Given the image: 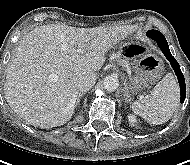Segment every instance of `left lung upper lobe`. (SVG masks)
Here are the masks:
<instances>
[{
  "instance_id": "1",
  "label": "left lung upper lobe",
  "mask_w": 190,
  "mask_h": 165,
  "mask_svg": "<svg viewBox=\"0 0 190 165\" xmlns=\"http://www.w3.org/2000/svg\"><path fill=\"white\" fill-rule=\"evenodd\" d=\"M156 32H159V31H157V30H150V31L147 32V34L156 33Z\"/></svg>"
}]
</instances>
